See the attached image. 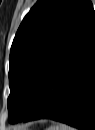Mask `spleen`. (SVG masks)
I'll use <instances>...</instances> for the list:
<instances>
[{
    "mask_svg": "<svg viewBox=\"0 0 95 130\" xmlns=\"http://www.w3.org/2000/svg\"><path fill=\"white\" fill-rule=\"evenodd\" d=\"M47 130H74V129L65 124H57V125L50 126Z\"/></svg>",
    "mask_w": 95,
    "mask_h": 130,
    "instance_id": "3e777b00",
    "label": "spleen"
}]
</instances>
